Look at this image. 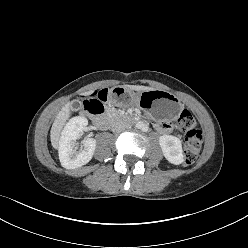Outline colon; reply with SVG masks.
<instances>
[{
  "label": "colon",
  "instance_id": "obj_1",
  "mask_svg": "<svg viewBox=\"0 0 248 248\" xmlns=\"http://www.w3.org/2000/svg\"><path fill=\"white\" fill-rule=\"evenodd\" d=\"M105 94H100L97 98L89 97L84 101V108L86 105L93 106L99 110H103V98ZM178 127L185 135L184 143V163H193L200 152L202 146V133L197 127L195 118L188 110H183L177 120Z\"/></svg>",
  "mask_w": 248,
  "mask_h": 248
}]
</instances>
